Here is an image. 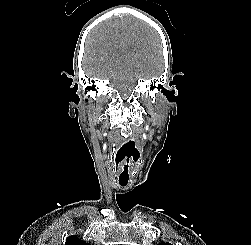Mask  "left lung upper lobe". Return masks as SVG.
I'll return each instance as SVG.
<instances>
[{
  "label": "left lung upper lobe",
  "instance_id": "1",
  "mask_svg": "<svg viewBox=\"0 0 251 245\" xmlns=\"http://www.w3.org/2000/svg\"><path fill=\"white\" fill-rule=\"evenodd\" d=\"M159 245H171V244H169V243H161Z\"/></svg>",
  "mask_w": 251,
  "mask_h": 245
}]
</instances>
